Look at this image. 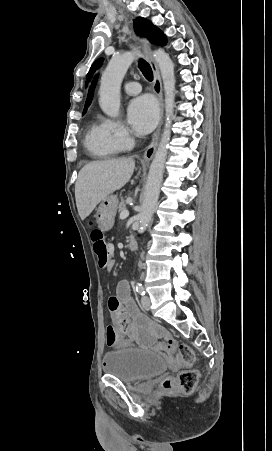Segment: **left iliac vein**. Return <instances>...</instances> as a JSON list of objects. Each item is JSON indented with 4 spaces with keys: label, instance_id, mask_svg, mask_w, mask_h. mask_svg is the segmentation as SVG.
<instances>
[{
    "label": "left iliac vein",
    "instance_id": "obj_1",
    "mask_svg": "<svg viewBox=\"0 0 272 451\" xmlns=\"http://www.w3.org/2000/svg\"><path fill=\"white\" fill-rule=\"evenodd\" d=\"M150 305H151L150 298L146 295H143L141 298V306L143 307V309L149 311Z\"/></svg>",
    "mask_w": 272,
    "mask_h": 451
}]
</instances>
